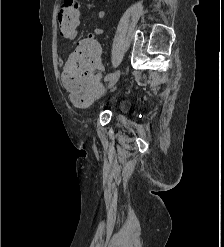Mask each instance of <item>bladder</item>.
Instances as JSON below:
<instances>
[{
    "label": "bladder",
    "mask_w": 224,
    "mask_h": 247,
    "mask_svg": "<svg viewBox=\"0 0 224 247\" xmlns=\"http://www.w3.org/2000/svg\"><path fill=\"white\" fill-rule=\"evenodd\" d=\"M129 109V104L126 100L122 99L115 103L114 110L120 114H127Z\"/></svg>",
    "instance_id": "obj_1"
}]
</instances>
